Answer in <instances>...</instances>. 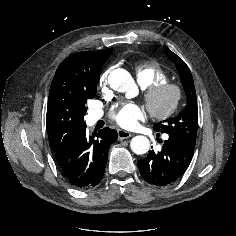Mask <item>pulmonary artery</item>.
<instances>
[{"label": "pulmonary artery", "mask_w": 236, "mask_h": 236, "mask_svg": "<svg viewBox=\"0 0 236 236\" xmlns=\"http://www.w3.org/2000/svg\"><path fill=\"white\" fill-rule=\"evenodd\" d=\"M101 117V113L100 112H94V113H92V118L94 119V120H97V119H99Z\"/></svg>", "instance_id": "pulmonary-artery-1"}]
</instances>
